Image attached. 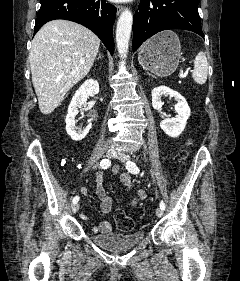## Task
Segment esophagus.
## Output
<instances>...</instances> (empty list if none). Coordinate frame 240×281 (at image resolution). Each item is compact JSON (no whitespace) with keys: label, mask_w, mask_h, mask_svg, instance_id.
Returning <instances> with one entry per match:
<instances>
[{"label":"esophagus","mask_w":240,"mask_h":281,"mask_svg":"<svg viewBox=\"0 0 240 281\" xmlns=\"http://www.w3.org/2000/svg\"><path fill=\"white\" fill-rule=\"evenodd\" d=\"M116 9H117V13L119 14V13H121V12H122L123 7H122V6H120V5H117V6H116Z\"/></svg>","instance_id":"34e87169"}]
</instances>
